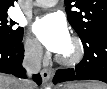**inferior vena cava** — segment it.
I'll return each mask as SVG.
<instances>
[{"instance_id":"inferior-vena-cava-1","label":"inferior vena cava","mask_w":107,"mask_h":89,"mask_svg":"<svg viewBox=\"0 0 107 89\" xmlns=\"http://www.w3.org/2000/svg\"><path fill=\"white\" fill-rule=\"evenodd\" d=\"M42 54V46L39 43H35L25 55L22 65L26 69L29 77H31L32 74L39 73L41 69ZM23 83L26 86V89H31L33 86V82L30 79L24 80Z\"/></svg>"}]
</instances>
